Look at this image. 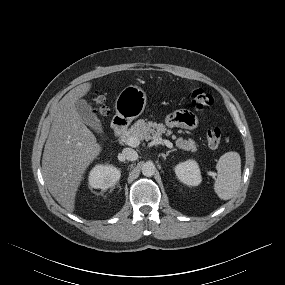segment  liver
<instances>
[{"label":"liver","mask_w":285,"mask_h":285,"mask_svg":"<svg viewBox=\"0 0 285 285\" xmlns=\"http://www.w3.org/2000/svg\"><path fill=\"white\" fill-rule=\"evenodd\" d=\"M91 86L89 82L78 85L57 104L42 158L49 192L70 213L75 209L76 193L84 172L102 151L75 107L76 101L85 96Z\"/></svg>","instance_id":"1"}]
</instances>
